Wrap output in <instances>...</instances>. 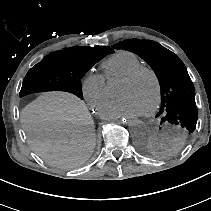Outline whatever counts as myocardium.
<instances>
[{
  "label": "myocardium",
  "instance_id": "f54148a6",
  "mask_svg": "<svg viewBox=\"0 0 211 211\" xmlns=\"http://www.w3.org/2000/svg\"><path fill=\"white\" fill-rule=\"evenodd\" d=\"M142 73H148L153 78L155 86H156V94H155L154 102L148 110L143 112L144 116H150L158 110L162 101V83L157 72L149 66L142 65L135 68L134 70L129 72L127 75L122 77L121 81H124V82L134 81Z\"/></svg>",
  "mask_w": 211,
  "mask_h": 211
}]
</instances>
